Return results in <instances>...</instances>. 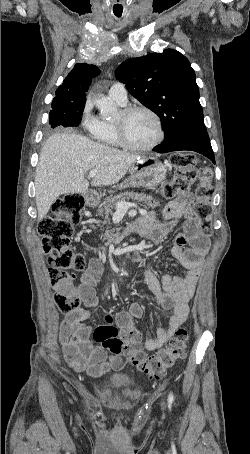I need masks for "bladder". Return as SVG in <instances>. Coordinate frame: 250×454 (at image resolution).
I'll return each mask as SVG.
<instances>
[{
  "label": "bladder",
  "mask_w": 250,
  "mask_h": 454,
  "mask_svg": "<svg viewBox=\"0 0 250 454\" xmlns=\"http://www.w3.org/2000/svg\"><path fill=\"white\" fill-rule=\"evenodd\" d=\"M131 386L132 379L127 373L114 374L103 383V389L110 392L128 389Z\"/></svg>",
  "instance_id": "bladder-1"
}]
</instances>
